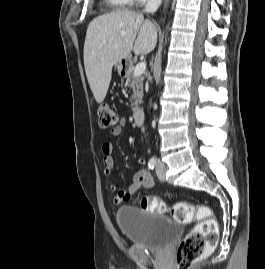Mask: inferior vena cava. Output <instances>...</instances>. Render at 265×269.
I'll return each instance as SVG.
<instances>
[{
  "instance_id": "602c4592",
  "label": "inferior vena cava",
  "mask_w": 265,
  "mask_h": 269,
  "mask_svg": "<svg viewBox=\"0 0 265 269\" xmlns=\"http://www.w3.org/2000/svg\"><path fill=\"white\" fill-rule=\"evenodd\" d=\"M161 2L162 0H147L144 11L147 13L155 12L159 8Z\"/></svg>"
}]
</instances>
